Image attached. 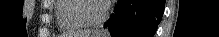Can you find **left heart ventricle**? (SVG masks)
I'll return each instance as SVG.
<instances>
[{"instance_id": "1", "label": "left heart ventricle", "mask_w": 219, "mask_h": 37, "mask_svg": "<svg viewBox=\"0 0 219 37\" xmlns=\"http://www.w3.org/2000/svg\"><path fill=\"white\" fill-rule=\"evenodd\" d=\"M86 14L90 18L99 16L103 10V3L100 1H92L86 3Z\"/></svg>"}]
</instances>
